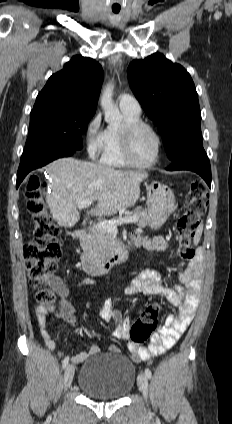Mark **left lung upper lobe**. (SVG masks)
Returning a JSON list of instances; mask_svg holds the SVG:
<instances>
[{"instance_id": "1", "label": "left lung upper lobe", "mask_w": 232, "mask_h": 424, "mask_svg": "<svg viewBox=\"0 0 232 424\" xmlns=\"http://www.w3.org/2000/svg\"><path fill=\"white\" fill-rule=\"evenodd\" d=\"M130 87L149 118L161 129L172 161L191 141L201 138L198 95L190 74L164 55L133 60L127 69Z\"/></svg>"}]
</instances>
